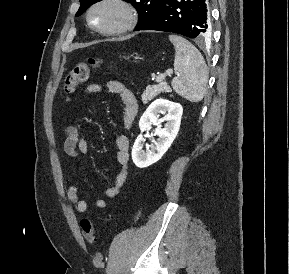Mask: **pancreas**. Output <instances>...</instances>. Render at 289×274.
<instances>
[{
  "label": "pancreas",
  "mask_w": 289,
  "mask_h": 274,
  "mask_svg": "<svg viewBox=\"0 0 289 274\" xmlns=\"http://www.w3.org/2000/svg\"><path fill=\"white\" fill-rule=\"evenodd\" d=\"M161 92H171V88L169 87V85H167V83L162 82L158 85L147 86L142 94V102L144 104H147Z\"/></svg>",
  "instance_id": "cf45deb5"
}]
</instances>
